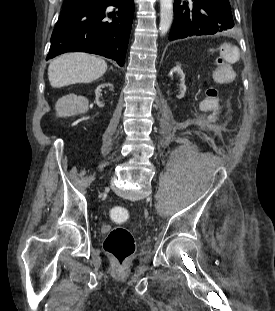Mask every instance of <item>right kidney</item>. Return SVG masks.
<instances>
[{"label": "right kidney", "mask_w": 275, "mask_h": 311, "mask_svg": "<svg viewBox=\"0 0 275 311\" xmlns=\"http://www.w3.org/2000/svg\"><path fill=\"white\" fill-rule=\"evenodd\" d=\"M112 84L106 83L99 85L95 91L96 98L94 100L95 105H98V108H107V100H110L114 95L112 91Z\"/></svg>", "instance_id": "ca27d5eb"}]
</instances>
